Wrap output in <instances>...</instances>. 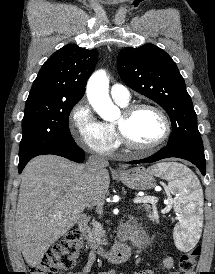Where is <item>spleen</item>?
Segmentation results:
<instances>
[{
    "label": "spleen",
    "mask_w": 215,
    "mask_h": 274,
    "mask_svg": "<svg viewBox=\"0 0 215 274\" xmlns=\"http://www.w3.org/2000/svg\"><path fill=\"white\" fill-rule=\"evenodd\" d=\"M149 171L168 181V190L174 195V211L180 214L174 229L177 244L187 240L193 245L200 237L202 227L203 191L200 182L190 169L178 163H159Z\"/></svg>",
    "instance_id": "1"
}]
</instances>
